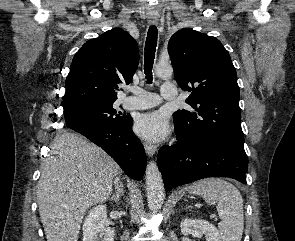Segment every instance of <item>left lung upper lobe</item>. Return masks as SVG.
<instances>
[{"instance_id": "5c2ea615", "label": "left lung upper lobe", "mask_w": 295, "mask_h": 241, "mask_svg": "<svg viewBox=\"0 0 295 241\" xmlns=\"http://www.w3.org/2000/svg\"><path fill=\"white\" fill-rule=\"evenodd\" d=\"M168 52L178 85L191 92L186 103L193 111L173 114L180 138L188 143L222 140L244 147L237 74L222 43L182 29L171 37Z\"/></svg>"}]
</instances>
